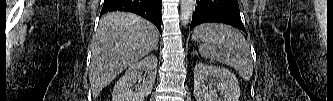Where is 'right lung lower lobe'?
<instances>
[{"mask_svg": "<svg viewBox=\"0 0 333 101\" xmlns=\"http://www.w3.org/2000/svg\"><path fill=\"white\" fill-rule=\"evenodd\" d=\"M162 0H104L101 15L112 11H128L152 22L161 33Z\"/></svg>", "mask_w": 333, "mask_h": 101, "instance_id": "obj_1", "label": "right lung lower lobe"}]
</instances>
